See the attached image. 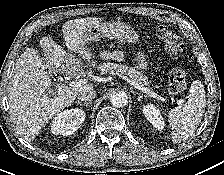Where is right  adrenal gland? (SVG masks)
Returning <instances> with one entry per match:
<instances>
[{
    "label": "right adrenal gland",
    "mask_w": 224,
    "mask_h": 175,
    "mask_svg": "<svg viewBox=\"0 0 224 175\" xmlns=\"http://www.w3.org/2000/svg\"><path fill=\"white\" fill-rule=\"evenodd\" d=\"M78 104H80V105H82V106H86V107H88V106L91 104V101H89V102H84V103L78 102Z\"/></svg>",
    "instance_id": "1"
}]
</instances>
